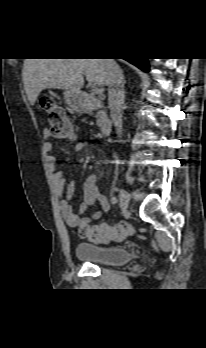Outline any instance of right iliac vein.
Masks as SVG:
<instances>
[{"mask_svg":"<svg viewBox=\"0 0 206 348\" xmlns=\"http://www.w3.org/2000/svg\"><path fill=\"white\" fill-rule=\"evenodd\" d=\"M119 197H120V207L123 210H126L130 203V194L125 189H120Z\"/></svg>","mask_w":206,"mask_h":348,"instance_id":"63e3f726","label":"right iliac vein"}]
</instances>
